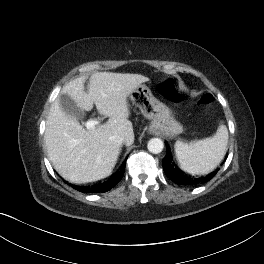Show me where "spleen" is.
I'll use <instances>...</instances> for the list:
<instances>
[{"label": "spleen", "mask_w": 264, "mask_h": 264, "mask_svg": "<svg viewBox=\"0 0 264 264\" xmlns=\"http://www.w3.org/2000/svg\"><path fill=\"white\" fill-rule=\"evenodd\" d=\"M228 137L227 127L222 124L213 137L190 144L176 141L174 148L179 165L189 173L211 172L221 163L226 154Z\"/></svg>", "instance_id": "obj_1"}]
</instances>
